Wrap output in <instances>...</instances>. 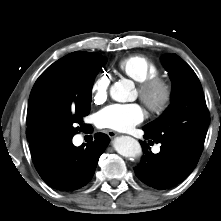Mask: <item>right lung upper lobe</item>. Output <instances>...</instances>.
Instances as JSON below:
<instances>
[{"label": "right lung upper lobe", "mask_w": 221, "mask_h": 221, "mask_svg": "<svg viewBox=\"0 0 221 221\" xmlns=\"http://www.w3.org/2000/svg\"><path fill=\"white\" fill-rule=\"evenodd\" d=\"M95 53H88V52H81V51H76L73 53H70L66 55L65 57L61 58L60 60L56 61L53 63L50 67H48L42 74L41 76L37 79V82L41 81L44 77L47 75L55 72L56 70L65 67L67 65L76 63L80 60H83Z\"/></svg>", "instance_id": "cb5924a9"}]
</instances>
